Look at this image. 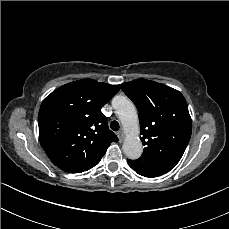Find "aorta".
<instances>
[{
  "instance_id": "aorta-1",
  "label": "aorta",
  "mask_w": 229,
  "mask_h": 229,
  "mask_svg": "<svg viewBox=\"0 0 229 229\" xmlns=\"http://www.w3.org/2000/svg\"><path fill=\"white\" fill-rule=\"evenodd\" d=\"M112 104L126 133L122 146L123 153L129 159H138L143 152V147L139 139L140 130L136 108L125 96H117Z\"/></svg>"
}]
</instances>
